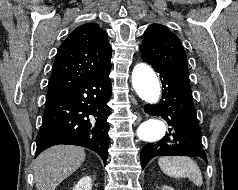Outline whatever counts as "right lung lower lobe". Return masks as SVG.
<instances>
[{
  "mask_svg": "<svg viewBox=\"0 0 238 190\" xmlns=\"http://www.w3.org/2000/svg\"><path fill=\"white\" fill-rule=\"evenodd\" d=\"M110 70L111 67L63 94L46 100L42 125L36 139V156L50 146L70 144L87 147L106 162Z\"/></svg>",
  "mask_w": 238,
  "mask_h": 190,
  "instance_id": "1",
  "label": "right lung lower lobe"
}]
</instances>
